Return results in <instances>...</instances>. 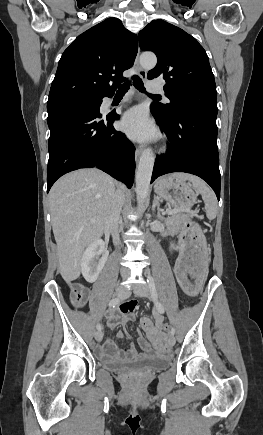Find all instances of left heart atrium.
<instances>
[{
	"label": "left heart atrium",
	"mask_w": 263,
	"mask_h": 435,
	"mask_svg": "<svg viewBox=\"0 0 263 435\" xmlns=\"http://www.w3.org/2000/svg\"><path fill=\"white\" fill-rule=\"evenodd\" d=\"M121 130L136 141H149L157 137V132L148 119L144 109L140 107L128 110L120 121Z\"/></svg>",
	"instance_id": "left-heart-atrium-1"
}]
</instances>
